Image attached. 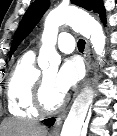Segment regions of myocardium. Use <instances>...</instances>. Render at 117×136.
Listing matches in <instances>:
<instances>
[{
	"label": "myocardium",
	"instance_id": "f54148a6",
	"mask_svg": "<svg viewBox=\"0 0 117 136\" xmlns=\"http://www.w3.org/2000/svg\"><path fill=\"white\" fill-rule=\"evenodd\" d=\"M44 88L45 79L44 76H40L34 91L33 104L38 113L43 115H51L58 112L64 107L66 97L62 96L59 103L56 106L48 107L44 101Z\"/></svg>",
	"mask_w": 117,
	"mask_h": 136
}]
</instances>
